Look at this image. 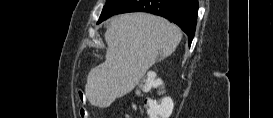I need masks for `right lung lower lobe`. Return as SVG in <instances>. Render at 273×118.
I'll use <instances>...</instances> for the list:
<instances>
[{
    "label": "right lung lower lobe",
    "instance_id": "obj_1",
    "mask_svg": "<svg viewBox=\"0 0 273 118\" xmlns=\"http://www.w3.org/2000/svg\"><path fill=\"white\" fill-rule=\"evenodd\" d=\"M128 12H148L168 19L188 35L190 45L196 29L198 0H121L110 16Z\"/></svg>",
    "mask_w": 273,
    "mask_h": 118
}]
</instances>
